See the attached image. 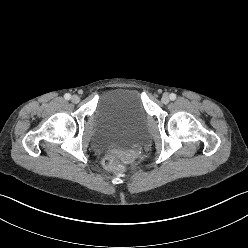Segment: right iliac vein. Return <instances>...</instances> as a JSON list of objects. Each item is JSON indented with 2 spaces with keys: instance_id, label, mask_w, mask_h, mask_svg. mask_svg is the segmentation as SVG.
<instances>
[{
  "instance_id": "obj_1",
  "label": "right iliac vein",
  "mask_w": 248,
  "mask_h": 248,
  "mask_svg": "<svg viewBox=\"0 0 248 248\" xmlns=\"http://www.w3.org/2000/svg\"><path fill=\"white\" fill-rule=\"evenodd\" d=\"M71 101L77 104L80 101V97L78 95H73Z\"/></svg>"
}]
</instances>
